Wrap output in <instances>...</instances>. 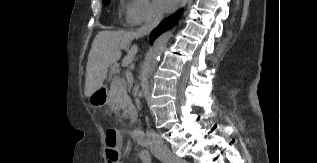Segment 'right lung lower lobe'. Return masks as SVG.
<instances>
[{"label": "right lung lower lobe", "mask_w": 317, "mask_h": 163, "mask_svg": "<svg viewBox=\"0 0 317 163\" xmlns=\"http://www.w3.org/2000/svg\"><path fill=\"white\" fill-rule=\"evenodd\" d=\"M180 13L181 11L177 12L176 14L164 19L159 25L158 27L152 31V33L150 34V43L152 44L153 41L155 40V38L161 34L162 32L170 29L172 26H174L179 17H180Z\"/></svg>", "instance_id": "obj_1"}]
</instances>
